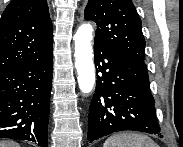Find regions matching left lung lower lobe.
<instances>
[{
    "mask_svg": "<svg viewBox=\"0 0 183 147\" xmlns=\"http://www.w3.org/2000/svg\"><path fill=\"white\" fill-rule=\"evenodd\" d=\"M94 56L98 68L89 108L88 140L125 130L160 134L145 63L97 42Z\"/></svg>",
    "mask_w": 183,
    "mask_h": 147,
    "instance_id": "1",
    "label": "left lung lower lobe"
}]
</instances>
